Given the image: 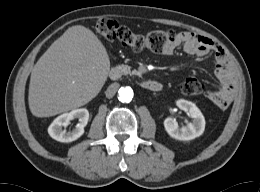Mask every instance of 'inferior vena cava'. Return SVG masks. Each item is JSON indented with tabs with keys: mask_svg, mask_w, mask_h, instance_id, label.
Listing matches in <instances>:
<instances>
[{
	"mask_svg": "<svg viewBox=\"0 0 260 192\" xmlns=\"http://www.w3.org/2000/svg\"><path fill=\"white\" fill-rule=\"evenodd\" d=\"M118 87H119V84H118V83H113V84H111V85L107 88V90H106V92H105L106 97H107V98H112V97L115 95V93H116Z\"/></svg>",
	"mask_w": 260,
	"mask_h": 192,
	"instance_id": "obj_1",
	"label": "inferior vena cava"
}]
</instances>
